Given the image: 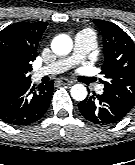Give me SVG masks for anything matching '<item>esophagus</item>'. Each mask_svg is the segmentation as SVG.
Segmentation results:
<instances>
[{
	"mask_svg": "<svg viewBox=\"0 0 135 165\" xmlns=\"http://www.w3.org/2000/svg\"><path fill=\"white\" fill-rule=\"evenodd\" d=\"M59 82L62 85H66V86H71L73 84V81L70 79H67V78H61V79H59Z\"/></svg>",
	"mask_w": 135,
	"mask_h": 165,
	"instance_id": "34e87169",
	"label": "esophagus"
}]
</instances>
